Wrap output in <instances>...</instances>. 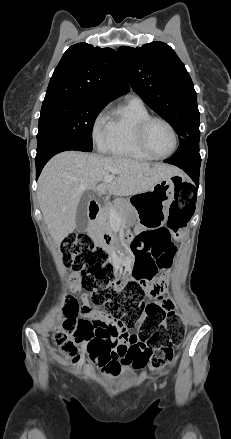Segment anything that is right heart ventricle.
Returning a JSON list of instances; mask_svg holds the SVG:
<instances>
[{"mask_svg":"<svg viewBox=\"0 0 231 439\" xmlns=\"http://www.w3.org/2000/svg\"><path fill=\"white\" fill-rule=\"evenodd\" d=\"M149 116V110L140 99H130L109 115L107 135L100 145V150L121 158L151 160L137 141L138 127Z\"/></svg>","mask_w":231,"mask_h":439,"instance_id":"obj_1","label":"right heart ventricle"}]
</instances>
